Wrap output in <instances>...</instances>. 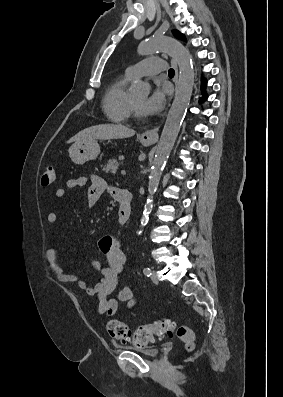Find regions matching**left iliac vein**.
Here are the masks:
<instances>
[{
  "label": "left iliac vein",
  "mask_w": 283,
  "mask_h": 397,
  "mask_svg": "<svg viewBox=\"0 0 283 397\" xmlns=\"http://www.w3.org/2000/svg\"><path fill=\"white\" fill-rule=\"evenodd\" d=\"M151 280L155 284L159 283V279H158L157 273L155 271H152V273H151Z\"/></svg>",
  "instance_id": "4c4485c4"
}]
</instances>
